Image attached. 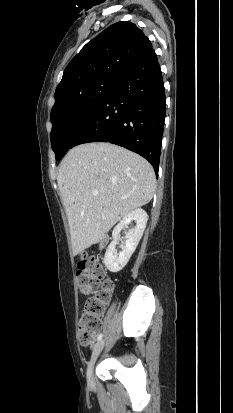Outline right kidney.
Instances as JSON below:
<instances>
[{
    "label": "right kidney",
    "instance_id": "right-kidney-1",
    "mask_svg": "<svg viewBox=\"0 0 233 413\" xmlns=\"http://www.w3.org/2000/svg\"><path fill=\"white\" fill-rule=\"evenodd\" d=\"M147 220V213L143 209L138 208L127 214L114 228L112 232L113 241L109 244L104 256V264L109 271L114 273L119 272L128 263L144 233ZM132 221L136 222V226L126 234V241L122 246V251L117 254L115 253V247L118 243L119 234L121 230L127 227Z\"/></svg>",
    "mask_w": 233,
    "mask_h": 413
}]
</instances>
